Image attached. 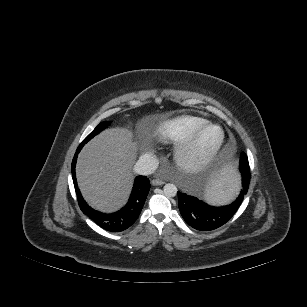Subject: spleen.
<instances>
[{
    "label": "spleen",
    "mask_w": 307,
    "mask_h": 307,
    "mask_svg": "<svg viewBox=\"0 0 307 307\" xmlns=\"http://www.w3.org/2000/svg\"><path fill=\"white\" fill-rule=\"evenodd\" d=\"M203 196L205 200L213 206H224L228 204L234 196V185L232 181L224 175H213L209 177L203 185Z\"/></svg>",
    "instance_id": "spleen-1"
}]
</instances>
